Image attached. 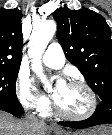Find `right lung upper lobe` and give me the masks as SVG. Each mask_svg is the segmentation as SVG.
<instances>
[{
    "instance_id": "obj_1",
    "label": "right lung upper lobe",
    "mask_w": 112,
    "mask_h": 135,
    "mask_svg": "<svg viewBox=\"0 0 112 135\" xmlns=\"http://www.w3.org/2000/svg\"><path fill=\"white\" fill-rule=\"evenodd\" d=\"M22 13L18 9H0V63L20 64L22 59Z\"/></svg>"
}]
</instances>
